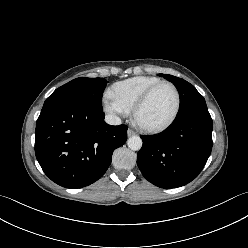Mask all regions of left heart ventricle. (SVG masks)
Segmentation results:
<instances>
[{"label":"left heart ventricle","instance_id":"b2bd125f","mask_svg":"<svg viewBox=\"0 0 248 248\" xmlns=\"http://www.w3.org/2000/svg\"><path fill=\"white\" fill-rule=\"evenodd\" d=\"M176 97L168 85L160 86L139 113V119L146 125H159L173 113Z\"/></svg>","mask_w":248,"mask_h":248}]
</instances>
